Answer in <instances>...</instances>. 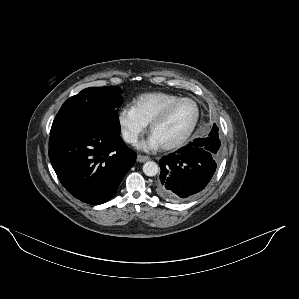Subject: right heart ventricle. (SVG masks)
<instances>
[{"label": "right heart ventricle", "instance_id": "right-heart-ventricle-1", "mask_svg": "<svg viewBox=\"0 0 299 299\" xmlns=\"http://www.w3.org/2000/svg\"><path fill=\"white\" fill-rule=\"evenodd\" d=\"M180 96L166 92H150L139 95L132 101L131 107L139 118L147 125L169 103Z\"/></svg>", "mask_w": 299, "mask_h": 299}]
</instances>
